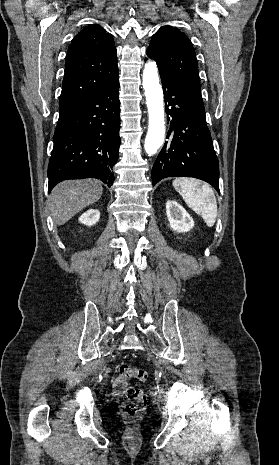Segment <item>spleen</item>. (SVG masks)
Listing matches in <instances>:
<instances>
[{
    "mask_svg": "<svg viewBox=\"0 0 279 465\" xmlns=\"http://www.w3.org/2000/svg\"><path fill=\"white\" fill-rule=\"evenodd\" d=\"M173 186L186 204L203 218L208 227H212L217 218V202L213 189L208 184L191 178H176Z\"/></svg>",
    "mask_w": 279,
    "mask_h": 465,
    "instance_id": "obj_1",
    "label": "spleen"
}]
</instances>
